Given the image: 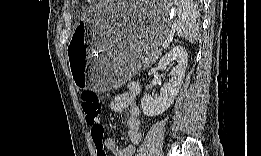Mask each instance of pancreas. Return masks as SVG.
I'll use <instances>...</instances> for the list:
<instances>
[{
	"instance_id": "cf45deb5",
	"label": "pancreas",
	"mask_w": 261,
	"mask_h": 156,
	"mask_svg": "<svg viewBox=\"0 0 261 156\" xmlns=\"http://www.w3.org/2000/svg\"><path fill=\"white\" fill-rule=\"evenodd\" d=\"M160 54H161V52L157 51V50L153 53L147 54L141 63V67L147 68V67L151 66L158 59Z\"/></svg>"
}]
</instances>
